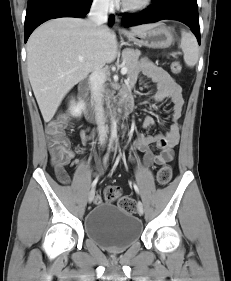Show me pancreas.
<instances>
[{
    "label": "pancreas",
    "instance_id": "obj_1",
    "mask_svg": "<svg viewBox=\"0 0 231 281\" xmlns=\"http://www.w3.org/2000/svg\"><path fill=\"white\" fill-rule=\"evenodd\" d=\"M141 55V51L138 49L126 48L122 52L123 67L127 68V74L130 75L138 66V59Z\"/></svg>",
    "mask_w": 231,
    "mask_h": 281
}]
</instances>
